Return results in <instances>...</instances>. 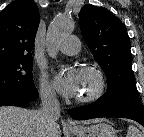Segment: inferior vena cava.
<instances>
[{"label":"inferior vena cava","instance_id":"1","mask_svg":"<svg viewBox=\"0 0 144 137\" xmlns=\"http://www.w3.org/2000/svg\"><path fill=\"white\" fill-rule=\"evenodd\" d=\"M42 119L46 129L56 126V121L60 117V104L56 95L52 91L43 93L42 97Z\"/></svg>","mask_w":144,"mask_h":137}]
</instances>
